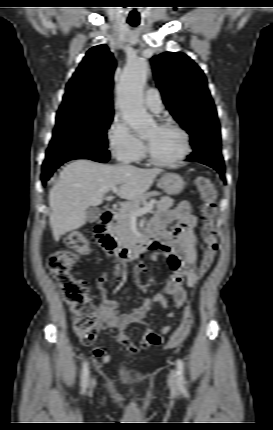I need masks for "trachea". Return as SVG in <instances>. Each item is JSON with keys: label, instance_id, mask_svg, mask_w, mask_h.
<instances>
[{"label": "trachea", "instance_id": "obj_1", "mask_svg": "<svg viewBox=\"0 0 273 430\" xmlns=\"http://www.w3.org/2000/svg\"><path fill=\"white\" fill-rule=\"evenodd\" d=\"M130 25L136 27L138 24L130 23Z\"/></svg>", "mask_w": 273, "mask_h": 430}]
</instances>
